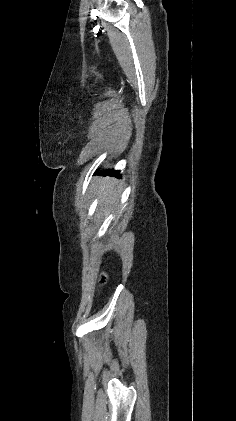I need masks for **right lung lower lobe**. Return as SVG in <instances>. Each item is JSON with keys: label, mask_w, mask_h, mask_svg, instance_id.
<instances>
[{"label": "right lung lower lobe", "mask_w": 236, "mask_h": 421, "mask_svg": "<svg viewBox=\"0 0 236 421\" xmlns=\"http://www.w3.org/2000/svg\"><path fill=\"white\" fill-rule=\"evenodd\" d=\"M106 174H108V172ZM109 174L119 175V171H109Z\"/></svg>", "instance_id": "98d812e1"}]
</instances>
